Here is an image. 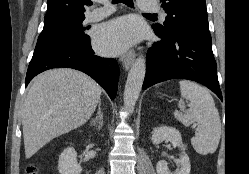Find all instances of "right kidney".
I'll return each instance as SVG.
<instances>
[{
    "instance_id": "ca27d5eb",
    "label": "right kidney",
    "mask_w": 249,
    "mask_h": 174,
    "mask_svg": "<svg viewBox=\"0 0 249 174\" xmlns=\"http://www.w3.org/2000/svg\"><path fill=\"white\" fill-rule=\"evenodd\" d=\"M58 171L60 174H81L82 167L77 162V153L69 147L59 156Z\"/></svg>"
}]
</instances>
